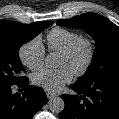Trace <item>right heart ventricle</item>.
I'll list each match as a JSON object with an SVG mask.
<instances>
[{
	"mask_svg": "<svg viewBox=\"0 0 119 119\" xmlns=\"http://www.w3.org/2000/svg\"><path fill=\"white\" fill-rule=\"evenodd\" d=\"M79 37L80 34L76 31L57 27L47 34V46L49 51L61 52Z\"/></svg>",
	"mask_w": 119,
	"mask_h": 119,
	"instance_id": "e07e8e85",
	"label": "right heart ventricle"
}]
</instances>
